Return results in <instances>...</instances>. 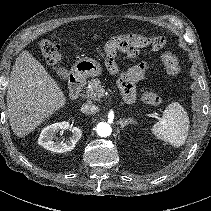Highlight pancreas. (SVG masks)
I'll return each instance as SVG.
<instances>
[{
  "label": "pancreas",
  "mask_w": 211,
  "mask_h": 211,
  "mask_svg": "<svg viewBox=\"0 0 211 211\" xmlns=\"http://www.w3.org/2000/svg\"><path fill=\"white\" fill-rule=\"evenodd\" d=\"M85 93L87 98L98 101L104 96L105 89L101 85L100 80L95 78L88 81V87Z\"/></svg>",
  "instance_id": "1"
}]
</instances>
